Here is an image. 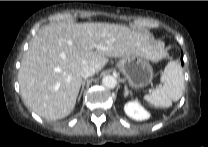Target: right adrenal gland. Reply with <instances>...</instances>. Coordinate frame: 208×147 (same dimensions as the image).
Returning <instances> with one entry per match:
<instances>
[{
    "mask_svg": "<svg viewBox=\"0 0 208 147\" xmlns=\"http://www.w3.org/2000/svg\"><path fill=\"white\" fill-rule=\"evenodd\" d=\"M85 83H86V80H83L82 81V84H81V91H80V94H79V97H78V101L80 100V98L82 96V92L84 90Z\"/></svg>",
    "mask_w": 208,
    "mask_h": 147,
    "instance_id": "right-adrenal-gland-1",
    "label": "right adrenal gland"
}]
</instances>
